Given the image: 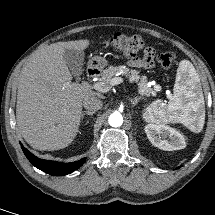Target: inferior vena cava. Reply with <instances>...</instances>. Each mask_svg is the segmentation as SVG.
I'll list each match as a JSON object with an SVG mask.
<instances>
[{
  "label": "inferior vena cava",
  "mask_w": 215,
  "mask_h": 215,
  "mask_svg": "<svg viewBox=\"0 0 215 215\" xmlns=\"http://www.w3.org/2000/svg\"><path fill=\"white\" fill-rule=\"evenodd\" d=\"M83 106L90 111H97L102 108L103 102L94 95L86 96L83 99Z\"/></svg>",
  "instance_id": "1"
}]
</instances>
